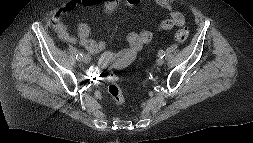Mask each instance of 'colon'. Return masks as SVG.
<instances>
[{"mask_svg": "<svg viewBox=\"0 0 253 143\" xmlns=\"http://www.w3.org/2000/svg\"><path fill=\"white\" fill-rule=\"evenodd\" d=\"M188 30L187 29H180L175 32L174 39L178 43L184 42L188 38ZM132 60L130 58H126L121 60L120 62H117L112 57H103L100 60V66L101 67H108V66H118V67H124L128 64H130ZM101 79L106 81L108 83V93L111 96V98L120 106H123L125 103V97L118 85L120 82V77L118 75H115L110 72L103 73L101 75Z\"/></svg>", "mask_w": 253, "mask_h": 143, "instance_id": "5ec220e1", "label": "colon"}]
</instances>
